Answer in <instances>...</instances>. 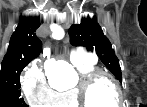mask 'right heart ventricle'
<instances>
[{
    "instance_id": "1",
    "label": "right heart ventricle",
    "mask_w": 147,
    "mask_h": 107,
    "mask_svg": "<svg viewBox=\"0 0 147 107\" xmlns=\"http://www.w3.org/2000/svg\"><path fill=\"white\" fill-rule=\"evenodd\" d=\"M74 66L80 73L81 77L97 70L95 61L76 63ZM54 104L60 107H80L77 102L74 88L56 93V100Z\"/></svg>"
}]
</instances>
